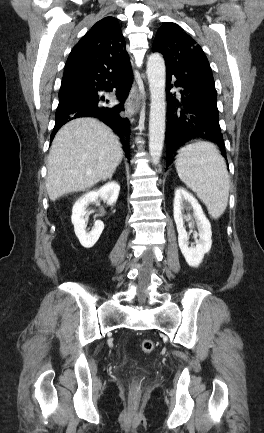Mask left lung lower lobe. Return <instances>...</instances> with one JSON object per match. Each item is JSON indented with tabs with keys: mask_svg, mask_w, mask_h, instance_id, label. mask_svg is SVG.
I'll return each instance as SVG.
<instances>
[{
	"mask_svg": "<svg viewBox=\"0 0 264 433\" xmlns=\"http://www.w3.org/2000/svg\"><path fill=\"white\" fill-rule=\"evenodd\" d=\"M166 72L167 164L172 162L175 151L192 139H204L217 144L222 155L227 158L219 125L214 83L187 79L169 69H166ZM172 77L176 78L174 85L180 88L178 95L169 92L173 87L170 83Z\"/></svg>",
	"mask_w": 264,
	"mask_h": 433,
	"instance_id": "obj_1",
	"label": "left lung lower lobe"
}]
</instances>
